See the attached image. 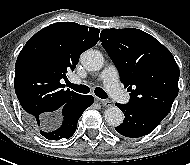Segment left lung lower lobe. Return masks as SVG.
<instances>
[{
	"label": "left lung lower lobe",
	"mask_w": 190,
	"mask_h": 165,
	"mask_svg": "<svg viewBox=\"0 0 190 165\" xmlns=\"http://www.w3.org/2000/svg\"><path fill=\"white\" fill-rule=\"evenodd\" d=\"M124 113L123 123L115 130L126 137L137 138L151 133L168 115V112L134 106L130 103L115 104Z\"/></svg>",
	"instance_id": "0a47b994"
}]
</instances>
